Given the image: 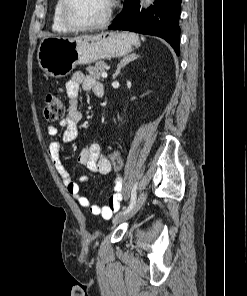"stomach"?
<instances>
[{
  "mask_svg": "<svg viewBox=\"0 0 247 296\" xmlns=\"http://www.w3.org/2000/svg\"><path fill=\"white\" fill-rule=\"evenodd\" d=\"M139 46L138 37L132 33L102 32L74 38L51 36L42 39L37 59L46 74L62 78L79 64L122 57Z\"/></svg>",
  "mask_w": 247,
  "mask_h": 296,
  "instance_id": "obj_1",
  "label": "stomach"
}]
</instances>
